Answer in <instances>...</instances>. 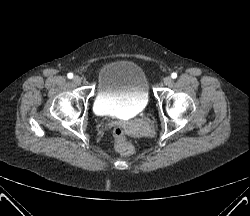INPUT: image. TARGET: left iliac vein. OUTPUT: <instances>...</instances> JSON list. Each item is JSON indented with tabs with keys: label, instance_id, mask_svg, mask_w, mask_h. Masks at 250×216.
<instances>
[{
	"label": "left iliac vein",
	"instance_id": "1",
	"mask_svg": "<svg viewBox=\"0 0 250 216\" xmlns=\"http://www.w3.org/2000/svg\"><path fill=\"white\" fill-rule=\"evenodd\" d=\"M171 83H172V78L170 76L164 78L165 85H170Z\"/></svg>",
	"mask_w": 250,
	"mask_h": 216
}]
</instances>
